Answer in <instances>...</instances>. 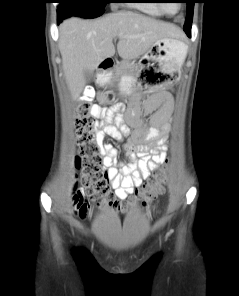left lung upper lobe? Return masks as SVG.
<instances>
[{
  "mask_svg": "<svg viewBox=\"0 0 239 296\" xmlns=\"http://www.w3.org/2000/svg\"><path fill=\"white\" fill-rule=\"evenodd\" d=\"M186 3H187V15H186L184 27L191 28L195 2L194 0H186Z\"/></svg>",
  "mask_w": 239,
  "mask_h": 296,
  "instance_id": "left-lung-upper-lobe-1",
  "label": "left lung upper lobe"
}]
</instances>
